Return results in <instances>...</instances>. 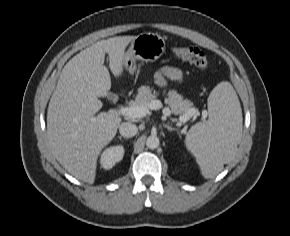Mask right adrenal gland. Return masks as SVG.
Masks as SVG:
<instances>
[{"instance_id": "2a0ac1e0", "label": "right adrenal gland", "mask_w": 290, "mask_h": 236, "mask_svg": "<svg viewBox=\"0 0 290 236\" xmlns=\"http://www.w3.org/2000/svg\"><path fill=\"white\" fill-rule=\"evenodd\" d=\"M117 138L120 139V140H122V136H118ZM125 139L127 140V138H125Z\"/></svg>"}]
</instances>
